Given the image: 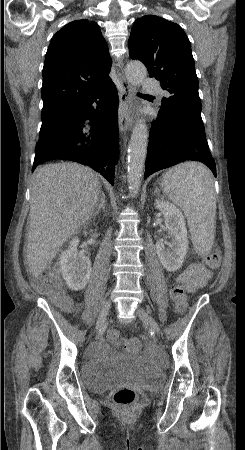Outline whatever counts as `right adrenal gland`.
Masks as SVG:
<instances>
[{
	"label": "right adrenal gland",
	"mask_w": 245,
	"mask_h": 450,
	"mask_svg": "<svg viewBox=\"0 0 245 450\" xmlns=\"http://www.w3.org/2000/svg\"><path fill=\"white\" fill-rule=\"evenodd\" d=\"M105 205H106L105 194L101 191L100 198L98 200L97 208L95 211V216L100 213L101 209L105 210Z\"/></svg>",
	"instance_id": "right-adrenal-gland-1"
}]
</instances>
